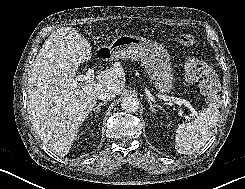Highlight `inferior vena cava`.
I'll return each instance as SVG.
<instances>
[{"instance_id":"inferior-vena-cava-1","label":"inferior vena cava","mask_w":245,"mask_h":189,"mask_svg":"<svg viewBox=\"0 0 245 189\" xmlns=\"http://www.w3.org/2000/svg\"><path fill=\"white\" fill-rule=\"evenodd\" d=\"M116 94L111 89H102L98 94V99L108 102L115 98Z\"/></svg>"}]
</instances>
